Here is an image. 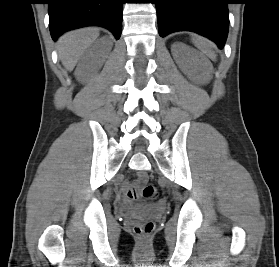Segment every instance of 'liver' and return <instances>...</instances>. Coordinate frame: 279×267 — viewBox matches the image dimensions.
<instances>
[{
    "label": "liver",
    "instance_id": "6515ba94",
    "mask_svg": "<svg viewBox=\"0 0 279 267\" xmlns=\"http://www.w3.org/2000/svg\"><path fill=\"white\" fill-rule=\"evenodd\" d=\"M99 36L97 28H82L64 34L58 40V56L64 67L72 71L84 52Z\"/></svg>",
    "mask_w": 279,
    "mask_h": 267
}]
</instances>
